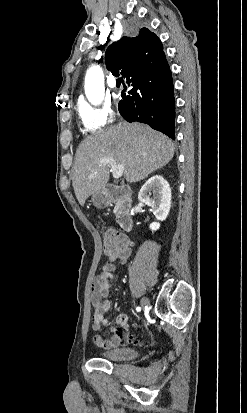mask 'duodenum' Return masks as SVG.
<instances>
[{"mask_svg":"<svg viewBox=\"0 0 247 413\" xmlns=\"http://www.w3.org/2000/svg\"><path fill=\"white\" fill-rule=\"evenodd\" d=\"M132 193L127 186L108 184L105 187L107 201L115 203V217L118 225L126 231L133 227V219L130 214L132 207Z\"/></svg>","mask_w":247,"mask_h":413,"instance_id":"duodenum-1","label":"duodenum"}]
</instances>
